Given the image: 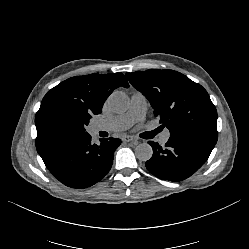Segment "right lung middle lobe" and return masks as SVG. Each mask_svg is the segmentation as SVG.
<instances>
[{"instance_id": "right-lung-middle-lobe-1", "label": "right lung middle lobe", "mask_w": 249, "mask_h": 249, "mask_svg": "<svg viewBox=\"0 0 249 249\" xmlns=\"http://www.w3.org/2000/svg\"><path fill=\"white\" fill-rule=\"evenodd\" d=\"M91 117L80 107L56 104L45 112L43 122L49 135L63 139L87 133L85 126Z\"/></svg>"}]
</instances>
